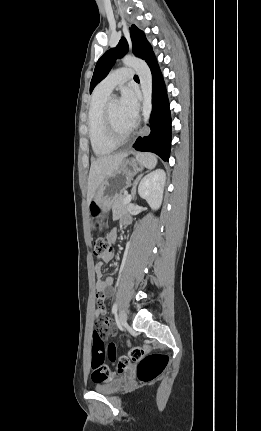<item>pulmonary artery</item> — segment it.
<instances>
[{
  "instance_id": "pulmonary-artery-1",
  "label": "pulmonary artery",
  "mask_w": 261,
  "mask_h": 431,
  "mask_svg": "<svg viewBox=\"0 0 261 431\" xmlns=\"http://www.w3.org/2000/svg\"><path fill=\"white\" fill-rule=\"evenodd\" d=\"M134 70L131 68H120L111 72L97 86V90L110 94L115 88L124 84L127 80L132 79Z\"/></svg>"
}]
</instances>
